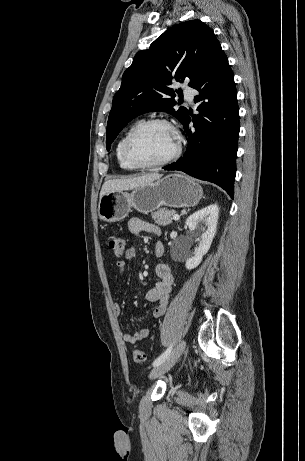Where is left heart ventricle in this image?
<instances>
[{"instance_id":"left-heart-ventricle-1","label":"left heart ventricle","mask_w":305,"mask_h":461,"mask_svg":"<svg viewBox=\"0 0 305 461\" xmlns=\"http://www.w3.org/2000/svg\"><path fill=\"white\" fill-rule=\"evenodd\" d=\"M176 147L174 134L161 125L144 128L135 138L132 153L138 160L153 163L165 159Z\"/></svg>"}]
</instances>
